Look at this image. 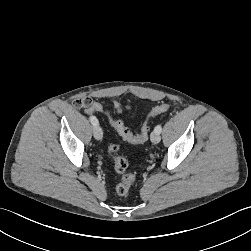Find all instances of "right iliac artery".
<instances>
[{
    "label": "right iliac artery",
    "mask_w": 251,
    "mask_h": 251,
    "mask_svg": "<svg viewBox=\"0 0 251 251\" xmlns=\"http://www.w3.org/2000/svg\"><path fill=\"white\" fill-rule=\"evenodd\" d=\"M90 122L94 125V126H96V125H98V120H97V118L95 117V116H90Z\"/></svg>",
    "instance_id": "82829eb1"
}]
</instances>
